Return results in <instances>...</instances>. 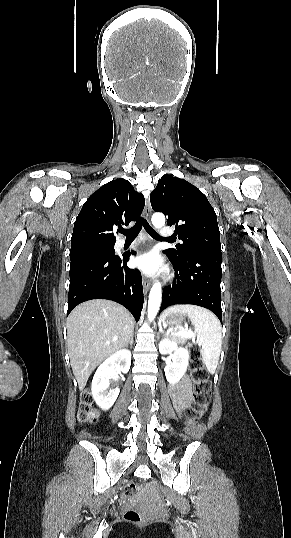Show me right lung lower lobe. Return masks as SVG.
<instances>
[{"mask_svg": "<svg viewBox=\"0 0 291 538\" xmlns=\"http://www.w3.org/2000/svg\"><path fill=\"white\" fill-rule=\"evenodd\" d=\"M128 260L129 255L72 260L67 314L84 301L109 299L122 304L139 320L144 302L142 278L138 269L127 267Z\"/></svg>", "mask_w": 291, "mask_h": 538, "instance_id": "obj_1", "label": "right lung lower lobe"}]
</instances>
